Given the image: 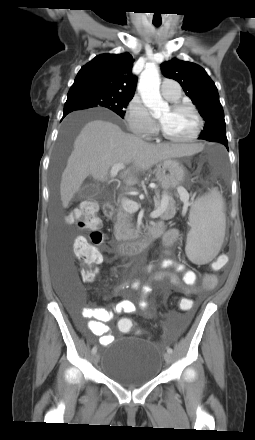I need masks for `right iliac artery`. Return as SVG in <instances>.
<instances>
[{
  "label": "right iliac artery",
  "instance_id": "1",
  "mask_svg": "<svg viewBox=\"0 0 255 440\" xmlns=\"http://www.w3.org/2000/svg\"><path fill=\"white\" fill-rule=\"evenodd\" d=\"M125 286V285H124ZM124 286L122 287V288H124ZM128 286H127V284H126V288H127ZM92 354H95L96 352H97V347L95 346V347H93L92 348Z\"/></svg>",
  "mask_w": 255,
  "mask_h": 440
}]
</instances>
